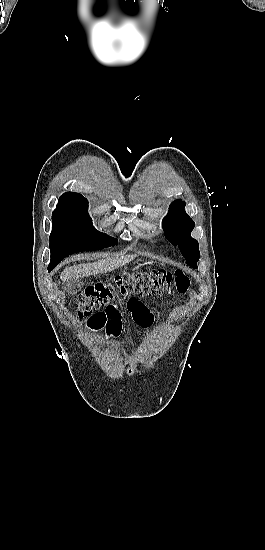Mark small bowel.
Here are the masks:
<instances>
[{
  "label": "small bowel",
  "mask_w": 265,
  "mask_h": 550,
  "mask_svg": "<svg viewBox=\"0 0 265 550\" xmlns=\"http://www.w3.org/2000/svg\"><path fill=\"white\" fill-rule=\"evenodd\" d=\"M129 301L134 302V301H137V300L130 299ZM130 312L132 313V315L140 314L142 316V318L145 319V320L149 318V309L144 303H141V302L138 306L134 307ZM145 328H147V327H145ZM119 332H120V328L118 329V331H115L113 329V334L114 335H118Z\"/></svg>",
  "instance_id": "1"
}]
</instances>
